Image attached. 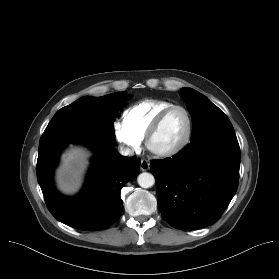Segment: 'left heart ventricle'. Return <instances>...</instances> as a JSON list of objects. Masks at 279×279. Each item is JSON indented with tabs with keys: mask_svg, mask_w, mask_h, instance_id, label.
Listing matches in <instances>:
<instances>
[{
	"mask_svg": "<svg viewBox=\"0 0 279 279\" xmlns=\"http://www.w3.org/2000/svg\"><path fill=\"white\" fill-rule=\"evenodd\" d=\"M187 120L183 111L173 110L163 121L158 132L152 139L156 150H168L176 146L184 137Z\"/></svg>",
	"mask_w": 279,
	"mask_h": 279,
	"instance_id": "obj_1",
	"label": "left heart ventricle"
}]
</instances>
